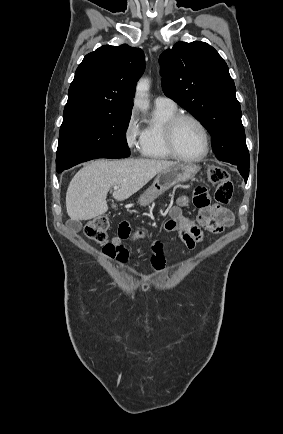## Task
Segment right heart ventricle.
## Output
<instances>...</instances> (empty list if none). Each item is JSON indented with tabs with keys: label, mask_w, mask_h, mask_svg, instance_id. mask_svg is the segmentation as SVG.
<instances>
[{
	"label": "right heart ventricle",
	"mask_w": 283,
	"mask_h": 434,
	"mask_svg": "<svg viewBox=\"0 0 283 434\" xmlns=\"http://www.w3.org/2000/svg\"><path fill=\"white\" fill-rule=\"evenodd\" d=\"M177 113L176 108H155L152 121L142 129L140 152L142 156L154 160H169L173 156L168 151L164 140V127L167 121Z\"/></svg>",
	"instance_id": "obj_1"
}]
</instances>
